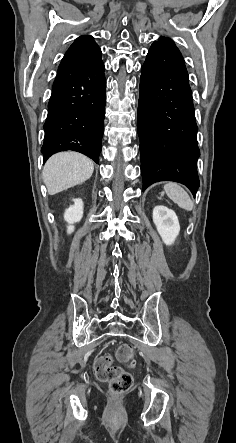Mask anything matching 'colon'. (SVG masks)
<instances>
[{
  "mask_svg": "<svg viewBox=\"0 0 236 443\" xmlns=\"http://www.w3.org/2000/svg\"><path fill=\"white\" fill-rule=\"evenodd\" d=\"M117 357L122 362H133L135 350L132 345L124 343L117 350ZM110 356H102L95 362V372L99 380L109 385L110 391L115 394L127 392L133 383L132 375L119 366L112 364Z\"/></svg>",
  "mask_w": 236,
  "mask_h": 443,
  "instance_id": "obj_1",
  "label": "colon"
}]
</instances>
